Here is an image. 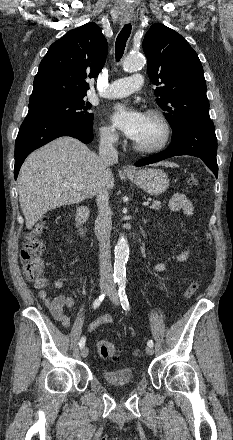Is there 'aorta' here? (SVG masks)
Returning a JSON list of instances; mask_svg holds the SVG:
<instances>
[{"label": "aorta", "mask_w": 233, "mask_h": 440, "mask_svg": "<svg viewBox=\"0 0 233 440\" xmlns=\"http://www.w3.org/2000/svg\"><path fill=\"white\" fill-rule=\"evenodd\" d=\"M144 64V58L141 55H129L123 61V69L127 72H133L141 68ZM114 278L124 280L126 277V263L129 257V245L126 237L120 236L115 249Z\"/></svg>", "instance_id": "obj_1"}]
</instances>
